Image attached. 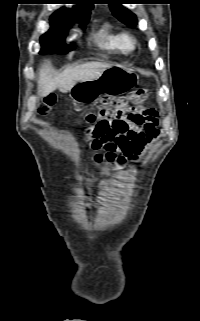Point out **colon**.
I'll use <instances>...</instances> for the list:
<instances>
[{
  "mask_svg": "<svg viewBox=\"0 0 200 321\" xmlns=\"http://www.w3.org/2000/svg\"><path fill=\"white\" fill-rule=\"evenodd\" d=\"M147 91L140 89L122 98L103 97L95 104V110L90 112L86 119L88 122H116L133 113H143L148 109L144 106ZM55 104V98L48 96L40 104L38 112L44 115Z\"/></svg>",
  "mask_w": 200,
  "mask_h": 321,
  "instance_id": "obj_1",
  "label": "colon"
}]
</instances>
